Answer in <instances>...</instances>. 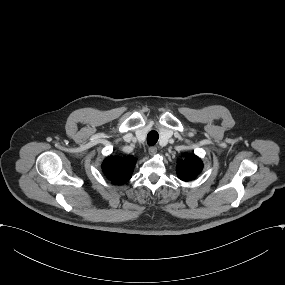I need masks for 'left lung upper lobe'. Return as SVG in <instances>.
<instances>
[{
	"label": "left lung upper lobe",
	"mask_w": 285,
	"mask_h": 285,
	"mask_svg": "<svg viewBox=\"0 0 285 285\" xmlns=\"http://www.w3.org/2000/svg\"><path fill=\"white\" fill-rule=\"evenodd\" d=\"M177 164V175L183 181H190L202 171L203 163L194 154H184Z\"/></svg>",
	"instance_id": "left-lung-upper-lobe-1"
}]
</instances>
